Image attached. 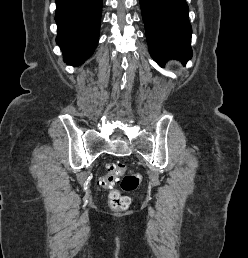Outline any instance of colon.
I'll return each mask as SVG.
<instances>
[{"mask_svg": "<svg viewBox=\"0 0 248 258\" xmlns=\"http://www.w3.org/2000/svg\"><path fill=\"white\" fill-rule=\"evenodd\" d=\"M142 177L138 172L128 171L123 162H114L108 166L107 173L100 179V185L103 188H112L120 182L121 188L125 191H135ZM130 205V199L118 191L112 190L109 194V206L116 211H124Z\"/></svg>", "mask_w": 248, "mask_h": 258, "instance_id": "obj_1", "label": "colon"}]
</instances>
